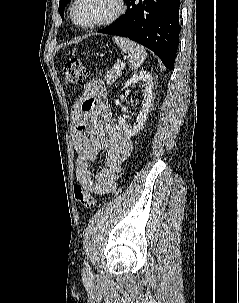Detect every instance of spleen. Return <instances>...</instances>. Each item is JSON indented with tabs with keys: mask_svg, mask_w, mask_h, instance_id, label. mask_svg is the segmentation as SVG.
I'll return each instance as SVG.
<instances>
[{
	"mask_svg": "<svg viewBox=\"0 0 239 303\" xmlns=\"http://www.w3.org/2000/svg\"><path fill=\"white\" fill-rule=\"evenodd\" d=\"M113 41L120 47L124 53H128L130 56L129 59V68L132 70L138 69L146 59V50L145 48L124 37H113Z\"/></svg>",
	"mask_w": 239,
	"mask_h": 303,
	"instance_id": "3e777b00",
	"label": "spleen"
}]
</instances>
